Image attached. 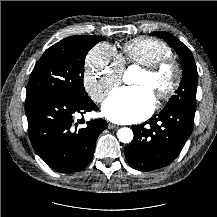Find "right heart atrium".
Instances as JSON below:
<instances>
[{
  "mask_svg": "<svg viewBox=\"0 0 217 217\" xmlns=\"http://www.w3.org/2000/svg\"><path fill=\"white\" fill-rule=\"evenodd\" d=\"M123 70V63L112 46H94L86 56L83 76L84 87L91 99L96 103L102 102L120 84Z\"/></svg>",
  "mask_w": 217,
  "mask_h": 217,
  "instance_id": "obj_1",
  "label": "right heart atrium"
}]
</instances>
